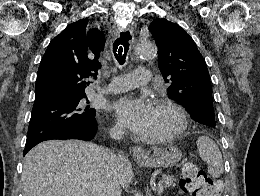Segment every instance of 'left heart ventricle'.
Segmentation results:
<instances>
[{"mask_svg":"<svg viewBox=\"0 0 260 196\" xmlns=\"http://www.w3.org/2000/svg\"><path fill=\"white\" fill-rule=\"evenodd\" d=\"M175 116L167 108L153 104V113L148 132L158 133L175 124Z\"/></svg>","mask_w":260,"mask_h":196,"instance_id":"left-heart-ventricle-1","label":"left heart ventricle"}]
</instances>
